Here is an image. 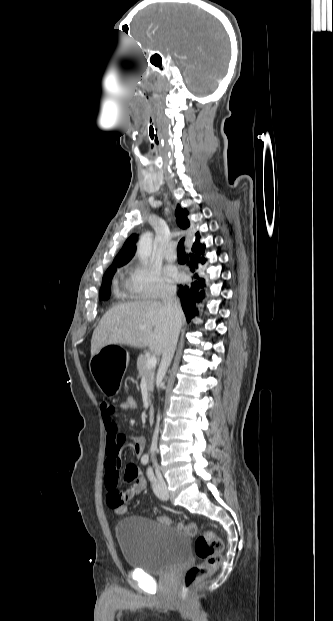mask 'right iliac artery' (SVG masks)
<instances>
[{
  "label": "right iliac artery",
  "mask_w": 333,
  "mask_h": 621,
  "mask_svg": "<svg viewBox=\"0 0 333 621\" xmlns=\"http://www.w3.org/2000/svg\"><path fill=\"white\" fill-rule=\"evenodd\" d=\"M148 462H149V457H148V455H147V454L143 455V456H142V458H141V463H142L143 465H147V464H148Z\"/></svg>",
  "instance_id": "1"
}]
</instances>
